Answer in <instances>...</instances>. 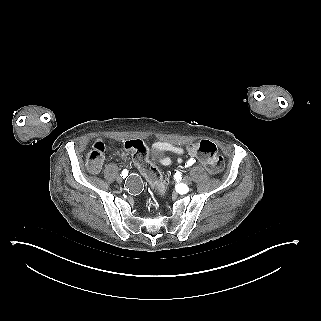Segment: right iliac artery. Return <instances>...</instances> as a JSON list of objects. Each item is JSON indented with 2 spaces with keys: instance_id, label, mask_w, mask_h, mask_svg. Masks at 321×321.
I'll use <instances>...</instances> for the list:
<instances>
[{
  "instance_id": "82829eb1",
  "label": "right iliac artery",
  "mask_w": 321,
  "mask_h": 321,
  "mask_svg": "<svg viewBox=\"0 0 321 321\" xmlns=\"http://www.w3.org/2000/svg\"><path fill=\"white\" fill-rule=\"evenodd\" d=\"M128 175V171L124 169L121 173V177L125 178Z\"/></svg>"
}]
</instances>
